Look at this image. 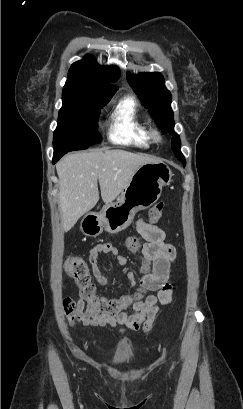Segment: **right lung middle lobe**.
<instances>
[{
	"instance_id": "dd1d6c3e",
	"label": "right lung middle lobe",
	"mask_w": 243,
	"mask_h": 409,
	"mask_svg": "<svg viewBox=\"0 0 243 409\" xmlns=\"http://www.w3.org/2000/svg\"><path fill=\"white\" fill-rule=\"evenodd\" d=\"M111 97L105 99L63 98L58 126L54 132V154L87 149L101 142L98 132L100 109Z\"/></svg>"
}]
</instances>
